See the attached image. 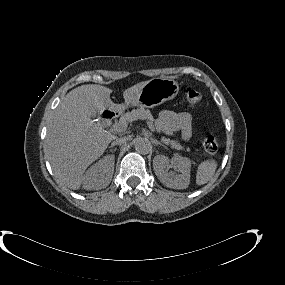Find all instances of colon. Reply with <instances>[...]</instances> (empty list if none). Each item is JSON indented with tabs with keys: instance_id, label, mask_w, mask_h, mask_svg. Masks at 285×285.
Instances as JSON below:
<instances>
[{
	"instance_id": "colon-1",
	"label": "colon",
	"mask_w": 285,
	"mask_h": 285,
	"mask_svg": "<svg viewBox=\"0 0 285 285\" xmlns=\"http://www.w3.org/2000/svg\"><path fill=\"white\" fill-rule=\"evenodd\" d=\"M185 98L189 106H196L202 101L203 95L199 90L189 86L185 89ZM202 145L204 150L210 154L216 153L219 149L218 140L212 135L204 137Z\"/></svg>"
}]
</instances>
